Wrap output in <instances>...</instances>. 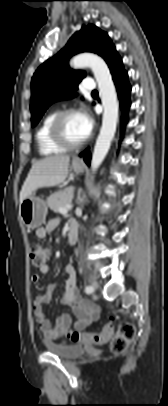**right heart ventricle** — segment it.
Listing matches in <instances>:
<instances>
[{
	"label": "right heart ventricle",
	"mask_w": 168,
	"mask_h": 406,
	"mask_svg": "<svg viewBox=\"0 0 168 406\" xmlns=\"http://www.w3.org/2000/svg\"><path fill=\"white\" fill-rule=\"evenodd\" d=\"M56 115V112L48 113L42 120L37 132L36 142L41 155L51 156L62 153L65 148L55 144L50 138V124Z\"/></svg>",
	"instance_id": "obj_1"
}]
</instances>
